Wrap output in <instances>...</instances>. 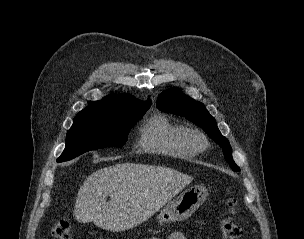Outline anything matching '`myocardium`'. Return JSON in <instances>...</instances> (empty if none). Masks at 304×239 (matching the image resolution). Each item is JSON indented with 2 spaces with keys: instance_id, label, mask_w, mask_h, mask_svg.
<instances>
[{
  "instance_id": "f54148a6",
  "label": "myocardium",
  "mask_w": 304,
  "mask_h": 239,
  "mask_svg": "<svg viewBox=\"0 0 304 239\" xmlns=\"http://www.w3.org/2000/svg\"><path fill=\"white\" fill-rule=\"evenodd\" d=\"M185 144L195 153H200L207 149L208 138L198 129H187L184 134Z\"/></svg>"
}]
</instances>
